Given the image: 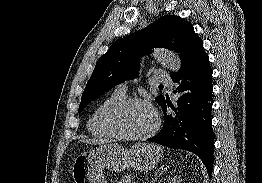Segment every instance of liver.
Instances as JSON below:
<instances>
[{"mask_svg":"<svg viewBox=\"0 0 262 183\" xmlns=\"http://www.w3.org/2000/svg\"><path fill=\"white\" fill-rule=\"evenodd\" d=\"M82 143L85 144H103V143H107L110 142V140L107 139H86V140H81Z\"/></svg>","mask_w":262,"mask_h":183,"instance_id":"6515ba94","label":"liver"}]
</instances>
